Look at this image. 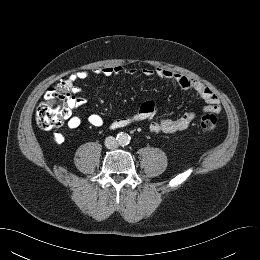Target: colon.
<instances>
[{
	"label": "colon",
	"mask_w": 260,
	"mask_h": 260,
	"mask_svg": "<svg viewBox=\"0 0 260 260\" xmlns=\"http://www.w3.org/2000/svg\"><path fill=\"white\" fill-rule=\"evenodd\" d=\"M74 99L72 84L67 80H62L49 88L45 100L39 104L35 112L37 125L44 130L59 127ZM199 123L204 131L211 132L217 128L218 118L214 112H210L202 115Z\"/></svg>",
	"instance_id": "1"
}]
</instances>
